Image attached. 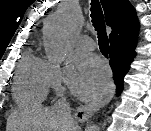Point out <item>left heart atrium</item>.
Returning <instances> with one entry per match:
<instances>
[{"mask_svg": "<svg viewBox=\"0 0 151 131\" xmlns=\"http://www.w3.org/2000/svg\"><path fill=\"white\" fill-rule=\"evenodd\" d=\"M68 83L72 93L84 100L101 95L108 83V71L96 57L75 54L68 70Z\"/></svg>", "mask_w": 151, "mask_h": 131, "instance_id": "obj_1", "label": "left heart atrium"}]
</instances>
